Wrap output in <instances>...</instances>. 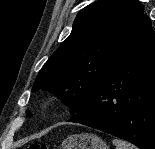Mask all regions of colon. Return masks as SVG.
Masks as SVG:
<instances>
[{
  "instance_id": "obj_1",
  "label": "colon",
  "mask_w": 155,
  "mask_h": 149,
  "mask_svg": "<svg viewBox=\"0 0 155 149\" xmlns=\"http://www.w3.org/2000/svg\"><path fill=\"white\" fill-rule=\"evenodd\" d=\"M28 149H48V146L43 143L33 142V143L29 144Z\"/></svg>"
}]
</instances>
